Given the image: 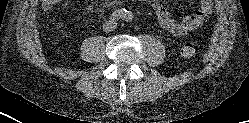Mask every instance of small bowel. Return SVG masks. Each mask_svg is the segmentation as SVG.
<instances>
[{
  "label": "small bowel",
  "instance_id": "c3829d8e",
  "mask_svg": "<svg viewBox=\"0 0 249 123\" xmlns=\"http://www.w3.org/2000/svg\"><path fill=\"white\" fill-rule=\"evenodd\" d=\"M45 9L63 0H43ZM214 0H200V8L193 14L183 17L177 21L168 9L160 3H153L152 9L158 19L160 26L176 37H181L188 32L195 31L201 27L214 12Z\"/></svg>",
  "mask_w": 249,
  "mask_h": 123
}]
</instances>
